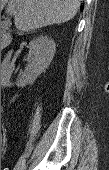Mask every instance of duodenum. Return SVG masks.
<instances>
[{
	"instance_id": "410a0bca",
	"label": "duodenum",
	"mask_w": 109,
	"mask_h": 170,
	"mask_svg": "<svg viewBox=\"0 0 109 170\" xmlns=\"http://www.w3.org/2000/svg\"><path fill=\"white\" fill-rule=\"evenodd\" d=\"M11 42L10 35L8 33H4L2 36V43H1V48L7 47Z\"/></svg>"
}]
</instances>
